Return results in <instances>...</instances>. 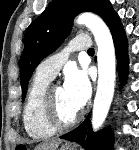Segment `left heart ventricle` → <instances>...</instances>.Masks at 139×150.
<instances>
[{
    "label": "left heart ventricle",
    "mask_w": 139,
    "mask_h": 150,
    "mask_svg": "<svg viewBox=\"0 0 139 150\" xmlns=\"http://www.w3.org/2000/svg\"><path fill=\"white\" fill-rule=\"evenodd\" d=\"M54 100L57 114L62 121L71 120L79 111V109L70 101L61 86L55 87Z\"/></svg>",
    "instance_id": "b2bd125f"
}]
</instances>
